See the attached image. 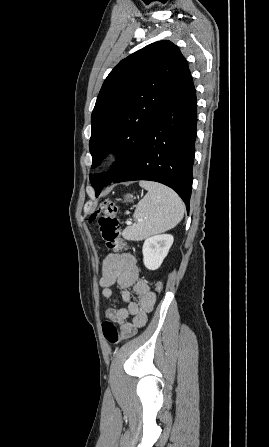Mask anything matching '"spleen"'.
Wrapping results in <instances>:
<instances>
[{
	"mask_svg": "<svg viewBox=\"0 0 269 447\" xmlns=\"http://www.w3.org/2000/svg\"><path fill=\"white\" fill-rule=\"evenodd\" d=\"M141 188L148 194L136 206L133 218L142 220L123 229L125 239H144L154 233H162L181 222L184 216V204L171 188L157 182H140Z\"/></svg>",
	"mask_w": 269,
	"mask_h": 447,
	"instance_id": "3e777b00",
	"label": "spleen"
}]
</instances>
